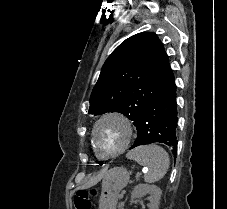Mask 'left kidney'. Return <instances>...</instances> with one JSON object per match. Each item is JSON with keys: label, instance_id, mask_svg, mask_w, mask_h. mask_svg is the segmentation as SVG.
Returning a JSON list of instances; mask_svg holds the SVG:
<instances>
[{"label": "left kidney", "instance_id": "left-kidney-1", "mask_svg": "<svg viewBox=\"0 0 227 209\" xmlns=\"http://www.w3.org/2000/svg\"><path fill=\"white\" fill-rule=\"evenodd\" d=\"M145 195H150V197H148V201H150L148 205L149 209H159L162 191L159 187H156V185H136L134 191L131 193L132 199L130 203H133L134 199L145 197Z\"/></svg>", "mask_w": 227, "mask_h": 209}]
</instances>
